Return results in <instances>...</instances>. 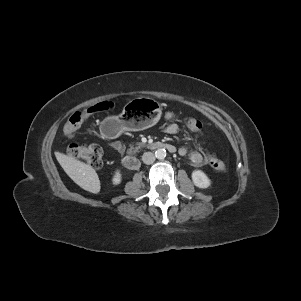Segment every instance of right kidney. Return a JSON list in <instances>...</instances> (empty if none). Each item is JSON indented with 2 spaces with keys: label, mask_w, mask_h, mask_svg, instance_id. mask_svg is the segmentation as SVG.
<instances>
[{
  "label": "right kidney",
  "mask_w": 301,
  "mask_h": 301,
  "mask_svg": "<svg viewBox=\"0 0 301 301\" xmlns=\"http://www.w3.org/2000/svg\"><path fill=\"white\" fill-rule=\"evenodd\" d=\"M121 181H122L121 172L120 170H116L112 178V183L113 185H119Z\"/></svg>",
  "instance_id": "ca27d5eb"
}]
</instances>
